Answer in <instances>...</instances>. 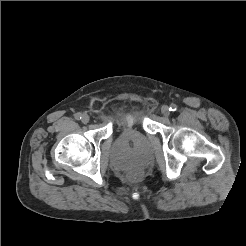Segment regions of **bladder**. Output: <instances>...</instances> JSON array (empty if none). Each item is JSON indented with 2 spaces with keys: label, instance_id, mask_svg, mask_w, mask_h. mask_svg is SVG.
I'll use <instances>...</instances> for the list:
<instances>
[{
  "label": "bladder",
  "instance_id": "obj_1",
  "mask_svg": "<svg viewBox=\"0 0 246 246\" xmlns=\"http://www.w3.org/2000/svg\"><path fill=\"white\" fill-rule=\"evenodd\" d=\"M138 118H139V116L136 113L126 115L120 119L119 125L121 127H128L133 122H136L138 120ZM115 160H116V163L118 164V166L125 167L129 164H143V163L147 162L148 155L147 154H139L131 160L118 159V158H115Z\"/></svg>",
  "mask_w": 246,
  "mask_h": 246
}]
</instances>
